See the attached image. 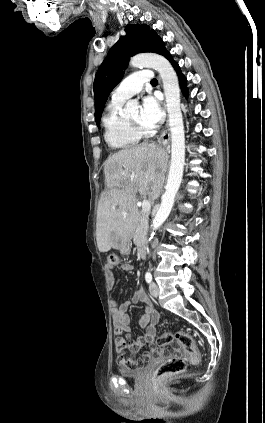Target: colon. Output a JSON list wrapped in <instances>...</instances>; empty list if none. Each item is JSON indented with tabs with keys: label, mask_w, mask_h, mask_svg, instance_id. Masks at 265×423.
Wrapping results in <instances>:
<instances>
[{
	"label": "colon",
	"mask_w": 265,
	"mask_h": 423,
	"mask_svg": "<svg viewBox=\"0 0 265 423\" xmlns=\"http://www.w3.org/2000/svg\"><path fill=\"white\" fill-rule=\"evenodd\" d=\"M108 263L111 266H117L119 264L118 255L116 253H110L108 255ZM174 341L176 342V347L183 350L193 362H196L199 359V354L195 349L193 338L190 334L183 330H179L175 333L164 331L159 335L157 340L160 346L172 344ZM125 351V345L121 344L118 349L120 357H125ZM123 365L133 368L137 367L138 363L133 359L126 358ZM186 365V358L179 356L171 357L158 366L154 377L157 381H160L169 376L182 373L186 370Z\"/></svg>",
	"instance_id": "obj_1"
}]
</instances>
